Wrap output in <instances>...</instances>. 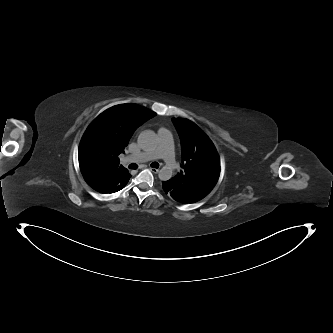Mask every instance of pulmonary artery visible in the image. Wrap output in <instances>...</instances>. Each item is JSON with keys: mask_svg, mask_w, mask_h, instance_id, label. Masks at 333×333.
<instances>
[{"mask_svg": "<svg viewBox=\"0 0 333 333\" xmlns=\"http://www.w3.org/2000/svg\"><path fill=\"white\" fill-rule=\"evenodd\" d=\"M159 144L153 151L140 152L130 155L123 160V163L135 162L144 163L154 159H163L166 168L172 170L175 167L173 153V138L168 129L160 128L158 130Z\"/></svg>", "mask_w": 333, "mask_h": 333, "instance_id": "e3ab8cb5", "label": "pulmonary artery"}]
</instances>
